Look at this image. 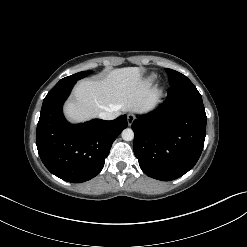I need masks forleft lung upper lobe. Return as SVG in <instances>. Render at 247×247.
I'll return each mask as SVG.
<instances>
[{"label": "left lung upper lobe", "instance_id": "5c2ea615", "mask_svg": "<svg viewBox=\"0 0 247 247\" xmlns=\"http://www.w3.org/2000/svg\"><path fill=\"white\" fill-rule=\"evenodd\" d=\"M166 72L169 76L170 86L172 88L195 87L192 82L183 74L172 69H166Z\"/></svg>", "mask_w": 247, "mask_h": 247}]
</instances>
